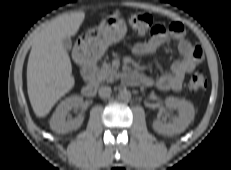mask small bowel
<instances>
[{
  "label": "small bowel",
  "mask_w": 231,
  "mask_h": 170,
  "mask_svg": "<svg viewBox=\"0 0 231 170\" xmlns=\"http://www.w3.org/2000/svg\"><path fill=\"white\" fill-rule=\"evenodd\" d=\"M177 41V49L181 58L175 60L170 72L161 74L156 79L137 74L138 81L146 86H156L159 90L179 91L183 86L185 76L191 73L203 59V51L199 46H193L185 39V29L180 22L171 23L164 34L152 36L133 46V53L139 56L152 55L156 50L171 41Z\"/></svg>",
  "instance_id": "1"
}]
</instances>
